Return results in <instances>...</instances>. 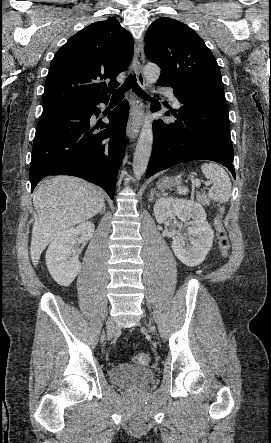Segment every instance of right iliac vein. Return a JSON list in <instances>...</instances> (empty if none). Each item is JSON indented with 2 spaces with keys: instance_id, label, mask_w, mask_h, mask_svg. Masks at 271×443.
I'll return each mask as SVG.
<instances>
[{
  "instance_id": "63e3f726",
  "label": "right iliac vein",
  "mask_w": 271,
  "mask_h": 443,
  "mask_svg": "<svg viewBox=\"0 0 271 443\" xmlns=\"http://www.w3.org/2000/svg\"><path fill=\"white\" fill-rule=\"evenodd\" d=\"M107 336L108 339H112L115 335V325L114 322L111 319L107 320Z\"/></svg>"
}]
</instances>
